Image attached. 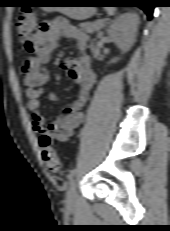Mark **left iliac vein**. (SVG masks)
Returning <instances> with one entry per match:
<instances>
[{"label":"left iliac vein","instance_id":"4c4485c4","mask_svg":"<svg viewBox=\"0 0 170 231\" xmlns=\"http://www.w3.org/2000/svg\"><path fill=\"white\" fill-rule=\"evenodd\" d=\"M76 186H77L76 180H72L67 190L66 205L69 208L75 207L77 202Z\"/></svg>","mask_w":170,"mask_h":231}]
</instances>
